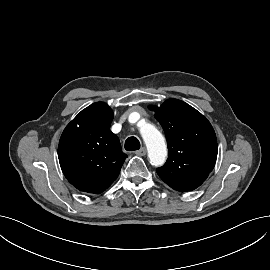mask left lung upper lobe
Returning <instances> with one entry per match:
<instances>
[{
  "label": "left lung upper lobe",
  "mask_w": 270,
  "mask_h": 270,
  "mask_svg": "<svg viewBox=\"0 0 270 270\" xmlns=\"http://www.w3.org/2000/svg\"><path fill=\"white\" fill-rule=\"evenodd\" d=\"M149 109L162 125L168 145V159L157 168L158 175L174 190L196 189L216 162L218 146L213 127L200 112L177 99Z\"/></svg>",
  "instance_id": "5c2ea615"
}]
</instances>
